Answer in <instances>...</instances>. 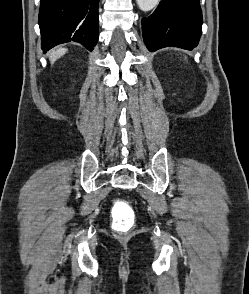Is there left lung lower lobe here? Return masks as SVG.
Here are the masks:
<instances>
[{
    "label": "left lung lower lobe",
    "mask_w": 249,
    "mask_h": 294,
    "mask_svg": "<svg viewBox=\"0 0 249 294\" xmlns=\"http://www.w3.org/2000/svg\"><path fill=\"white\" fill-rule=\"evenodd\" d=\"M201 28L199 0H162L151 16L142 19L144 42L151 52L167 46L192 49Z\"/></svg>",
    "instance_id": "1"
}]
</instances>
